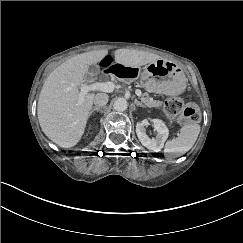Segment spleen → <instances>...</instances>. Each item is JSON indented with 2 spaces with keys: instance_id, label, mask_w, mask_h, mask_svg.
Returning a JSON list of instances; mask_svg holds the SVG:
<instances>
[{
  "instance_id": "3e777b00",
  "label": "spleen",
  "mask_w": 243,
  "mask_h": 243,
  "mask_svg": "<svg viewBox=\"0 0 243 243\" xmlns=\"http://www.w3.org/2000/svg\"><path fill=\"white\" fill-rule=\"evenodd\" d=\"M200 131L199 124H188L181 127L178 138L166 142L164 153L184 154L188 152L196 143Z\"/></svg>"
}]
</instances>
